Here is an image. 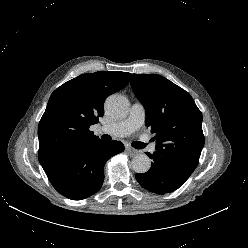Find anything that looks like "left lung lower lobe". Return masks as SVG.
<instances>
[{"instance_id":"1","label":"left lung lower lobe","mask_w":248,"mask_h":248,"mask_svg":"<svg viewBox=\"0 0 248 248\" xmlns=\"http://www.w3.org/2000/svg\"><path fill=\"white\" fill-rule=\"evenodd\" d=\"M153 162L148 172L136 174V179L142 187L150 192L164 194L173 192L181 187L189 178L173 165L162 161L156 156L146 153Z\"/></svg>"}]
</instances>
